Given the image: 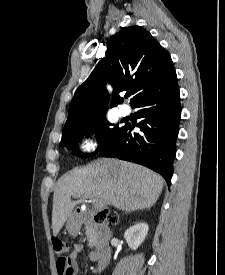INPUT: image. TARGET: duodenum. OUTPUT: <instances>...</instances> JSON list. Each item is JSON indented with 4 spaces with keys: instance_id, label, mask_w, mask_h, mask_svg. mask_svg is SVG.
Instances as JSON below:
<instances>
[{
    "instance_id": "duodenum-1",
    "label": "duodenum",
    "mask_w": 225,
    "mask_h": 275,
    "mask_svg": "<svg viewBox=\"0 0 225 275\" xmlns=\"http://www.w3.org/2000/svg\"><path fill=\"white\" fill-rule=\"evenodd\" d=\"M78 212L82 213V210H78ZM97 214L94 215V218L87 217V216L84 217L83 223L84 225L91 224L93 227V230L96 235L95 259L97 263V268L102 269L107 266L112 254V248L109 243L111 239V231L105 223L96 219Z\"/></svg>"
}]
</instances>
